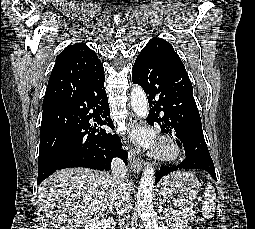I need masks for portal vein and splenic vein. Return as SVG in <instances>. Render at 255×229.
<instances>
[{"label":"portal vein and splenic vein","instance_id":"18ae733b","mask_svg":"<svg viewBox=\"0 0 255 229\" xmlns=\"http://www.w3.org/2000/svg\"><path fill=\"white\" fill-rule=\"evenodd\" d=\"M185 210H189V208H186ZM178 211H176V210H174V209H166L165 211H164V213H169V214H176Z\"/></svg>","mask_w":255,"mask_h":229}]
</instances>
